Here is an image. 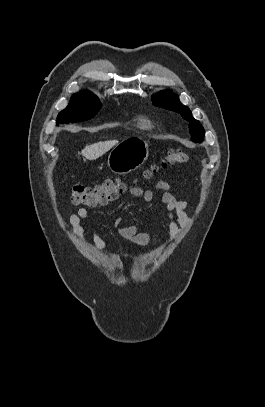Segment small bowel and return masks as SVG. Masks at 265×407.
I'll list each match as a JSON object with an SVG mask.
<instances>
[{
	"label": "small bowel",
	"instance_id": "small-bowel-1",
	"mask_svg": "<svg viewBox=\"0 0 265 407\" xmlns=\"http://www.w3.org/2000/svg\"><path fill=\"white\" fill-rule=\"evenodd\" d=\"M156 188L161 192V200L167 210L168 241L171 242L190 224V218L186 213L187 203L178 199L171 192L169 183L164 180L158 181ZM130 194L133 197L143 198L145 202H151L154 198L152 190H143L138 186L132 187ZM88 215L89 213L86 208H79L69 217V225L73 234L83 243L87 242V238L82 222L88 218ZM120 221V218L116 219L112 227L118 231L121 237L127 239L134 245H145L152 242L153 233L140 231L136 225L120 226ZM92 243L94 247L100 251H107L109 249L97 228L92 229Z\"/></svg>",
	"mask_w": 265,
	"mask_h": 407
}]
</instances>
